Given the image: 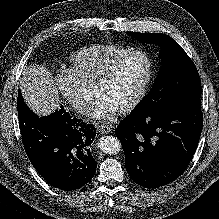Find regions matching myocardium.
<instances>
[{"instance_id":"obj_1","label":"myocardium","mask_w":219,"mask_h":219,"mask_svg":"<svg viewBox=\"0 0 219 219\" xmlns=\"http://www.w3.org/2000/svg\"><path fill=\"white\" fill-rule=\"evenodd\" d=\"M140 55L144 57L147 61V72L145 74L144 80L137 92V94L134 96V98L126 105H124L122 108H120V111L123 113H127L132 111L134 108H136L144 99L146 96L149 87L151 85L154 71H155V65L154 60L150 53H148L145 50L142 49H135L130 50L129 52L123 54L119 58H117L114 62H112L106 70L99 76L97 79L96 85H101L109 81V79L116 73V71L119 69V67L123 64L124 61H126L128 58Z\"/></svg>"}]
</instances>
